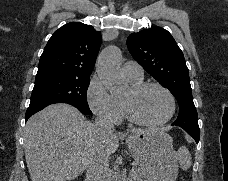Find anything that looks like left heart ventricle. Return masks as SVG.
<instances>
[{
  "instance_id": "1",
  "label": "left heart ventricle",
  "mask_w": 228,
  "mask_h": 181,
  "mask_svg": "<svg viewBox=\"0 0 228 181\" xmlns=\"http://www.w3.org/2000/svg\"><path fill=\"white\" fill-rule=\"evenodd\" d=\"M135 109L142 118L156 121L165 116L168 100L158 89L147 88L136 97Z\"/></svg>"
}]
</instances>
